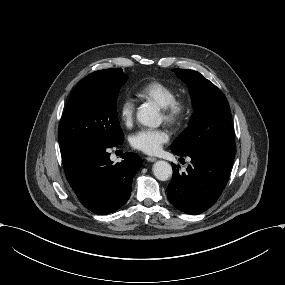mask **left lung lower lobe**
I'll return each mask as SVG.
<instances>
[{
	"instance_id": "0a47b994",
	"label": "left lung lower lobe",
	"mask_w": 285,
	"mask_h": 285,
	"mask_svg": "<svg viewBox=\"0 0 285 285\" xmlns=\"http://www.w3.org/2000/svg\"><path fill=\"white\" fill-rule=\"evenodd\" d=\"M192 165L186 173L172 164L167 187L169 201L179 210L197 215L209 209L224 190L234 156V145L217 144L189 153Z\"/></svg>"
}]
</instances>
